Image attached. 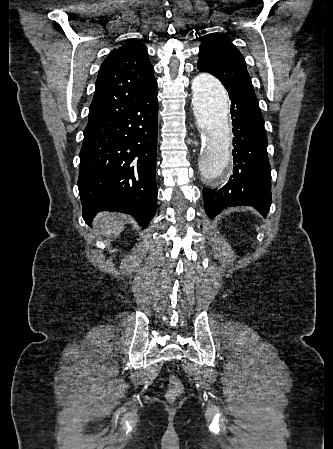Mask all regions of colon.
Returning a JSON list of instances; mask_svg holds the SVG:
<instances>
[{"instance_id": "1", "label": "colon", "mask_w": 333, "mask_h": 449, "mask_svg": "<svg viewBox=\"0 0 333 449\" xmlns=\"http://www.w3.org/2000/svg\"><path fill=\"white\" fill-rule=\"evenodd\" d=\"M183 386L180 380L176 377H171L169 381V387L167 390V397L174 399L182 393Z\"/></svg>"}]
</instances>
